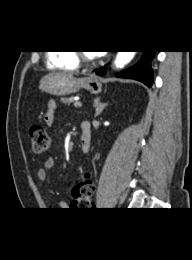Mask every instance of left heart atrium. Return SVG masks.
<instances>
[{
    "mask_svg": "<svg viewBox=\"0 0 192 260\" xmlns=\"http://www.w3.org/2000/svg\"><path fill=\"white\" fill-rule=\"evenodd\" d=\"M96 55H101V52H95Z\"/></svg>",
    "mask_w": 192,
    "mask_h": 260,
    "instance_id": "obj_1",
    "label": "left heart atrium"
}]
</instances>
